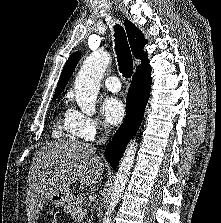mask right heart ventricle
Wrapping results in <instances>:
<instances>
[{"instance_id":"obj_1","label":"right heart ventricle","mask_w":221,"mask_h":223,"mask_svg":"<svg viewBox=\"0 0 221 223\" xmlns=\"http://www.w3.org/2000/svg\"><path fill=\"white\" fill-rule=\"evenodd\" d=\"M54 137L57 139H73L76 137L72 130L69 111L56 117L54 122Z\"/></svg>"}]
</instances>
